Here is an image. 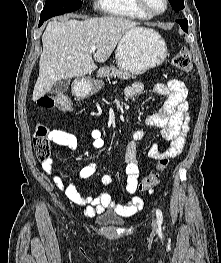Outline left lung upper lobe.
<instances>
[{
    "instance_id": "left-lung-upper-lobe-1",
    "label": "left lung upper lobe",
    "mask_w": 221,
    "mask_h": 263,
    "mask_svg": "<svg viewBox=\"0 0 221 263\" xmlns=\"http://www.w3.org/2000/svg\"><path fill=\"white\" fill-rule=\"evenodd\" d=\"M174 11L178 12L184 8V0H169Z\"/></svg>"
}]
</instances>
